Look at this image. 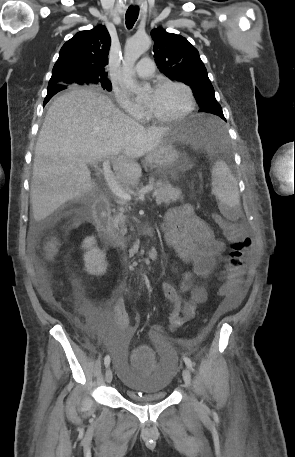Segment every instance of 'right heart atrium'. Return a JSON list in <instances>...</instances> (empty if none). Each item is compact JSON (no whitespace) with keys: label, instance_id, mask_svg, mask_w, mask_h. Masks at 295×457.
I'll return each instance as SVG.
<instances>
[{"label":"right heart atrium","instance_id":"d8ad5b80","mask_svg":"<svg viewBox=\"0 0 295 457\" xmlns=\"http://www.w3.org/2000/svg\"><path fill=\"white\" fill-rule=\"evenodd\" d=\"M113 95L117 104L131 117L141 120L145 116V110L142 106L130 99L128 94L121 88L115 87Z\"/></svg>","mask_w":295,"mask_h":457}]
</instances>
